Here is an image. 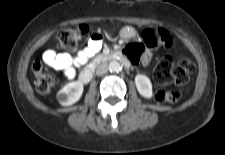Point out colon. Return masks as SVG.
I'll list each match as a JSON object with an SVG mask.
<instances>
[{"mask_svg":"<svg viewBox=\"0 0 225 155\" xmlns=\"http://www.w3.org/2000/svg\"><path fill=\"white\" fill-rule=\"evenodd\" d=\"M88 32L86 25H79L62 30L58 34V42L62 49L73 51L77 48L81 37ZM140 42L131 43L127 47L129 56L133 61H139L145 48L158 45L169 46L172 43L170 34L165 29H147L142 33ZM33 72L36 77L35 85L40 93H48L56 83V77L50 73L37 60L33 63ZM195 70V64L188 58H183L175 63L171 58L161 59L155 66L154 77L163 87L154 92V99L158 103L175 104L179 101L181 93L171 85H184L189 81L190 75Z\"/></svg>","mask_w":225,"mask_h":155,"instance_id":"colon-1","label":"colon"}]
</instances>
